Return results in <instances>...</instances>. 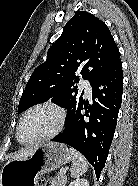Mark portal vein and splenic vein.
I'll return each mask as SVG.
<instances>
[{
    "label": "portal vein and splenic vein",
    "instance_id": "1",
    "mask_svg": "<svg viewBox=\"0 0 138 186\" xmlns=\"http://www.w3.org/2000/svg\"><path fill=\"white\" fill-rule=\"evenodd\" d=\"M65 173H66V170H65V169H61V170H60V174H61L62 176H64Z\"/></svg>",
    "mask_w": 138,
    "mask_h": 186
}]
</instances>
